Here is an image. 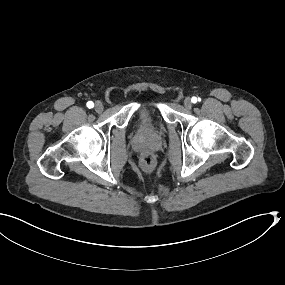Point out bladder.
Masks as SVG:
<instances>
[{
  "label": "bladder",
  "mask_w": 285,
  "mask_h": 285,
  "mask_svg": "<svg viewBox=\"0 0 285 285\" xmlns=\"http://www.w3.org/2000/svg\"><path fill=\"white\" fill-rule=\"evenodd\" d=\"M132 115V130L136 131L139 135H150L159 132V116L155 112L153 104L136 105L133 109Z\"/></svg>",
  "instance_id": "obj_1"
}]
</instances>
